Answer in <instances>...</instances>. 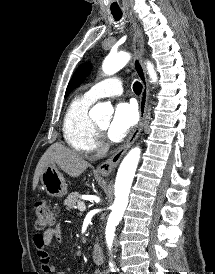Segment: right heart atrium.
I'll list each match as a JSON object with an SVG mask.
<instances>
[{
	"mask_svg": "<svg viewBox=\"0 0 215 274\" xmlns=\"http://www.w3.org/2000/svg\"><path fill=\"white\" fill-rule=\"evenodd\" d=\"M104 147V142L102 140V136L97 134L94 141V148L97 150H101Z\"/></svg>",
	"mask_w": 215,
	"mask_h": 274,
	"instance_id": "1",
	"label": "right heart atrium"
}]
</instances>
